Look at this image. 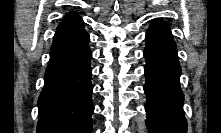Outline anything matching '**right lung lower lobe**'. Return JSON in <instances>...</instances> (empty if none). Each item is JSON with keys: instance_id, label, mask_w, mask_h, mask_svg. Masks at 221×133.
Here are the masks:
<instances>
[{"instance_id": "98d812e1", "label": "right lung lower lobe", "mask_w": 221, "mask_h": 133, "mask_svg": "<svg viewBox=\"0 0 221 133\" xmlns=\"http://www.w3.org/2000/svg\"><path fill=\"white\" fill-rule=\"evenodd\" d=\"M89 35L53 41L38 99L37 133H91L92 84Z\"/></svg>"}]
</instances>
